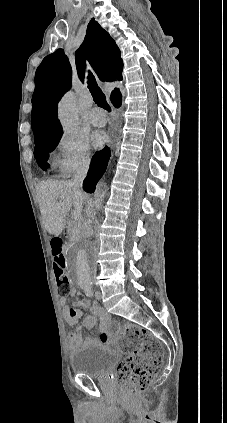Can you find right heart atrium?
<instances>
[{"label":"right heart atrium","instance_id":"obj_1","mask_svg":"<svg viewBox=\"0 0 227 423\" xmlns=\"http://www.w3.org/2000/svg\"><path fill=\"white\" fill-rule=\"evenodd\" d=\"M92 163L87 139L77 134L62 135L56 146L55 165L63 176L86 171Z\"/></svg>","mask_w":227,"mask_h":423}]
</instances>
